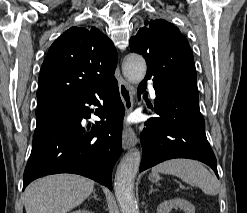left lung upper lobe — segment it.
I'll return each mask as SVG.
<instances>
[{"mask_svg": "<svg viewBox=\"0 0 247 213\" xmlns=\"http://www.w3.org/2000/svg\"><path fill=\"white\" fill-rule=\"evenodd\" d=\"M129 45L147 62L145 80L153 79L160 90L183 91L198 99L193 54L177 27L162 19L145 21Z\"/></svg>", "mask_w": 247, "mask_h": 213, "instance_id": "obj_1", "label": "left lung upper lobe"}]
</instances>
